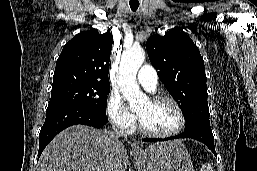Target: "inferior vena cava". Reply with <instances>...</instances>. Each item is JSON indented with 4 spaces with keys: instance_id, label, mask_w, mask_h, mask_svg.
I'll list each match as a JSON object with an SVG mask.
<instances>
[{
    "instance_id": "1",
    "label": "inferior vena cava",
    "mask_w": 257,
    "mask_h": 171,
    "mask_svg": "<svg viewBox=\"0 0 257 171\" xmlns=\"http://www.w3.org/2000/svg\"><path fill=\"white\" fill-rule=\"evenodd\" d=\"M114 131L116 133V135L120 136V135H124L121 131H119L117 128H114ZM125 136V135H124Z\"/></svg>"
}]
</instances>
